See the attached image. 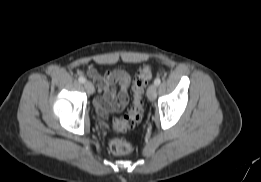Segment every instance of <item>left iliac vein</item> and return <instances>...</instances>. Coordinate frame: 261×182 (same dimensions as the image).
<instances>
[{
  "mask_svg": "<svg viewBox=\"0 0 261 182\" xmlns=\"http://www.w3.org/2000/svg\"><path fill=\"white\" fill-rule=\"evenodd\" d=\"M147 96L149 100L153 101L155 100L157 96V87L155 84H151L147 89Z\"/></svg>",
  "mask_w": 261,
  "mask_h": 182,
  "instance_id": "left-iliac-vein-1",
  "label": "left iliac vein"
}]
</instances>
